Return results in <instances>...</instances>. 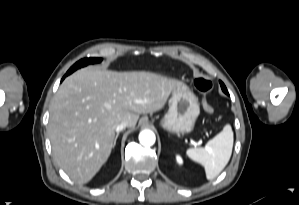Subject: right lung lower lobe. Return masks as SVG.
Wrapping results in <instances>:
<instances>
[{"label": "right lung lower lobe", "mask_w": 299, "mask_h": 205, "mask_svg": "<svg viewBox=\"0 0 299 205\" xmlns=\"http://www.w3.org/2000/svg\"><path fill=\"white\" fill-rule=\"evenodd\" d=\"M66 76H67V75H65V76L63 77V79H64ZM63 79H62V80H63Z\"/></svg>", "instance_id": "obj_1"}]
</instances>
